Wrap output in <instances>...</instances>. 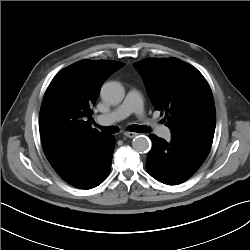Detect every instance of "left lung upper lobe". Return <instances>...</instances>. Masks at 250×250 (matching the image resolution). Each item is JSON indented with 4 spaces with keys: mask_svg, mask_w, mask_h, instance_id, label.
I'll return each mask as SVG.
<instances>
[{
    "mask_svg": "<svg viewBox=\"0 0 250 250\" xmlns=\"http://www.w3.org/2000/svg\"><path fill=\"white\" fill-rule=\"evenodd\" d=\"M156 110L172 134L214 137L216 113L203 75L177 58H147L133 64Z\"/></svg>",
    "mask_w": 250,
    "mask_h": 250,
    "instance_id": "obj_1",
    "label": "left lung upper lobe"
}]
</instances>
